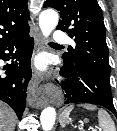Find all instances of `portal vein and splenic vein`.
<instances>
[{
	"mask_svg": "<svg viewBox=\"0 0 117 131\" xmlns=\"http://www.w3.org/2000/svg\"><path fill=\"white\" fill-rule=\"evenodd\" d=\"M92 131H95V129L94 128H90Z\"/></svg>",
	"mask_w": 117,
	"mask_h": 131,
	"instance_id": "obj_1",
	"label": "portal vein and splenic vein"
}]
</instances>
